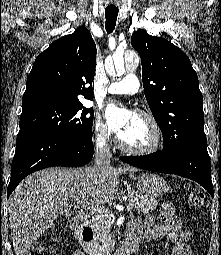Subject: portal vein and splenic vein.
<instances>
[{"instance_id": "obj_1", "label": "portal vein and splenic vein", "mask_w": 221, "mask_h": 255, "mask_svg": "<svg viewBox=\"0 0 221 255\" xmlns=\"http://www.w3.org/2000/svg\"><path fill=\"white\" fill-rule=\"evenodd\" d=\"M77 207H81V208H88V209H92V210H97L98 212H101L103 207H98L96 206L94 203L88 202V201H81ZM133 208V204H128L126 205V210L129 211Z\"/></svg>"}]
</instances>
